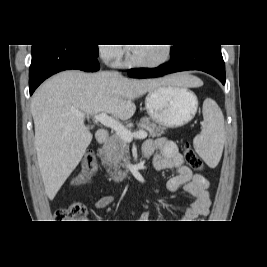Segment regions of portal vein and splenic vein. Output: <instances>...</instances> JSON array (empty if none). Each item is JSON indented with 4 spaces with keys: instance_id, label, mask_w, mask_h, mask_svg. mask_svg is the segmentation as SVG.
Here are the masks:
<instances>
[{
    "instance_id": "18ae733b",
    "label": "portal vein and splenic vein",
    "mask_w": 267,
    "mask_h": 267,
    "mask_svg": "<svg viewBox=\"0 0 267 267\" xmlns=\"http://www.w3.org/2000/svg\"><path fill=\"white\" fill-rule=\"evenodd\" d=\"M79 117H83L84 114H78ZM94 119L100 122L102 125L113 129L116 134H118L124 141L131 142L133 138L136 139H145L147 137V132L138 131L132 133L124 125H122L118 120L110 117L107 113L102 112L94 115Z\"/></svg>"
}]
</instances>
